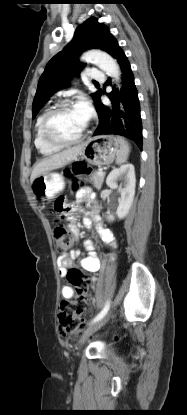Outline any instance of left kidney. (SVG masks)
<instances>
[{
  "label": "left kidney",
  "instance_id": "5707ae66",
  "mask_svg": "<svg viewBox=\"0 0 187 415\" xmlns=\"http://www.w3.org/2000/svg\"><path fill=\"white\" fill-rule=\"evenodd\" d=\"M117 181H121L120 186H118ZM106 184L111 189H118L121 195L118 199L119 205L116 210V216L119 219H123L128 214L135 195L136 179L134 166L125 164L113 169L107 176ZM106 218L108 221H113L115 216L108 214Z\"/></svg>",
  "mask_w": 187,
  "mask_h": 415
}]
</instances>
